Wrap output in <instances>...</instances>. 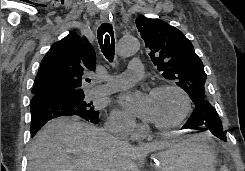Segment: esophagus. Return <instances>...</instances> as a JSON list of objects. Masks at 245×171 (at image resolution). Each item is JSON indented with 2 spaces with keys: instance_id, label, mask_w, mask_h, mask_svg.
Segmentation results:
<instances>
[{
  "instance_id": "1",
  "label": "esophagus",
  "mask_w": 245,
  "mask_h": 171,
  "mask_svg": "<svg viewBox=\"0 0 245 171\" xmlns=\"http://www.w3.org/2000/svg\"><path fill=\"white\" fill-rule=\"evenodd\" d=\"M110 20H111L110 15L107 12H102L101 21L102 22H109Z\"/></svg>"
}]
</instances>
